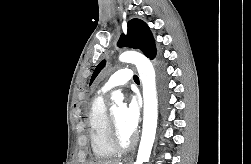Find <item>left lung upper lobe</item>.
I'll list each match as a JSON object with an SVG mask.
<instances>
[{"mask_svg":"<svg viewBox=\"0 0 251 164\" xmlns=\"http://www.w3.org/2000/svg\"><path fill=\"white\" fill-rule=\"evenodd\" d=\"M119 47L129 46L133 49L141 50L148 58L153 59L156 56V47L149 27L145 22L139 19H132L127 25V35L122 34L118 44ZM106 61L99 63L91 77L90 84L96 78L98 73L105 66Z\"/></svg>","mask_w":251,"mask_h":164,"instance_id":"1","label":"left lung upper lobe"}]
</instances>
